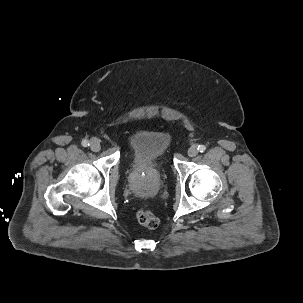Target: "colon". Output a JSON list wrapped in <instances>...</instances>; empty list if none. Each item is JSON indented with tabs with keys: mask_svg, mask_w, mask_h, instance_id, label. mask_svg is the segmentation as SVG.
Wrapping results in <instances>:
<instances>
[{
	"mask_svg": "<svg viewBox=\"0 0 303 303\" xmlns=\"http://www.w3.org/2000/svg\"><path fill=\"white\" fill-rule=\"evenodd\" d=\"M136 217L142 226L150 229L156 228L160 223L159 218L152 211L147 209H140L137 212Z\"/></svg>",
	"mask_w": 303,
	"mask_h": 303,
	"instance_id": "obj_1",
	"label": "colon"
}]
</instances>
